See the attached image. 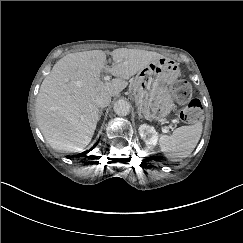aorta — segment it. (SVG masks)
I'll list each match as a JSON object with an SVG mask.
<instances>
[{"instance_id": "aorta-1", "label": "aorta", "mask_w": 243, "mask_h": 243, "mask_svg": "<svg viewBox=\"0 0 243 243\" xmlns=\"http://www.w3.org/2000/svg\"><path fill=\"white\" fill-rule=\"evenodd\" d=\"M130 110V104L125 100H119L114 104V111L118 116H127L130 113Z\"/></svg>"}]
</instances>
